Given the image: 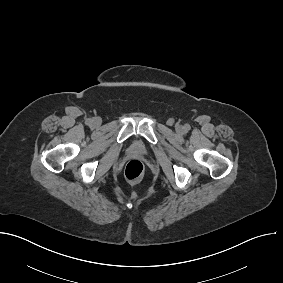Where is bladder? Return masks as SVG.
Listing matches in <instances>:
<instances>
[{
    "mask_svg": "<svg viewBox=\"0 0 283 283\" xmlns=\"http://www.w3.org/2000/svg\"><path fill=\"white\" fill-rule=\"evenodd\" d=\"M129 150L134 153L138 154H146L147 153V147L146 145L139 140L133 141L129 147Z\"/></svg>",
    "mask_w": 283,
    "mask_h": 283,
    "instance_id": "31cf9c89",
    "label": "bladder"
}]
</instances>
